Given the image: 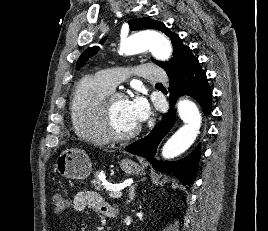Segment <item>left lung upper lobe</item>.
<instances>
[{"mask_svg": "<svg viewBox=\"0 0 268 231\" xmlns=\"http://www.w3.org/2000/svg\"><path fill=\"white\" fill-rule=\"evenodd\" d=\"M128 23L130 30L132 31L142 29H155L165 33L170 38L174 50L173 57L168 62L153 60L157 65L162 67L167 72V74L181 69L191 58L195 57L192 54L191 49L181 42L179 35L169 30L162 22L146 17L135 18L128 21ZM101 43H103V41H101ZM98 50V46H93L83 52L77 62V69L82 66L88 60V58L95 55Z\"/></svg>", "mask_w": 268, "mask_h": 231, "instance_id": "5c2ea615", "label": "left lung upper lobe"}]
</instances>
